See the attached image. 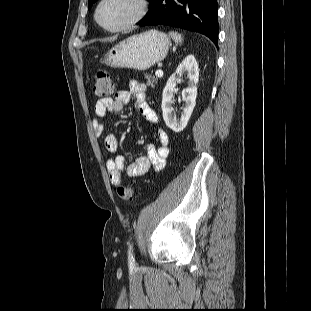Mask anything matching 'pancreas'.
Masks as SVG:
<instances>
[{"instance_id":"obj_1","label":"pancreas","mask_w":311,"mask_h":311,"mask_svg":"<svg viewBox=\"0 0 311 311\" xmlns=\"http://www.w3.org/2000/svg\"><path fill=\"white\" fill-rule=\"evenodd\" d=\"M145 78L147 79L148 86H151L152 88H154L155 84L157 83V79L148 74L145 75Z\"/></svg>"}]
</instances>
